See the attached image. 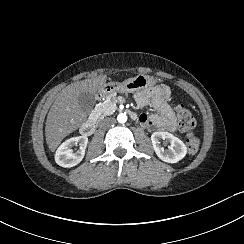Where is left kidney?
<instances>
[{"mask_svg":"<svg viewBox=\"0 0 244 244\" xmlns=\"http://www.w3.org/2000/svg\"><path fill=\"white\" fill-rule=\"evenodd\" d=\"M160 140H167L170 142L168 150H164V148L160 146ZM151 141L155 153L164 162L177 163L183 159L187 153L185 144L169 132H154L151 135Z\"/></svg>","mask_w":244,"mask_h":244,"instance_id":"left-kidney-1","label":"left kidney"}]
</instances>
